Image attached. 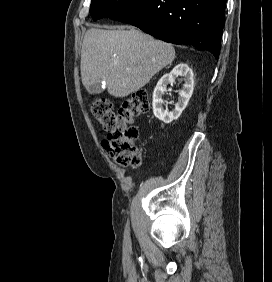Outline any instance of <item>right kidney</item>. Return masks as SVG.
<instances>
[{"instance_id":"1","label":"right kidney","mask_w":272,"mask_h":282,"mask_svg":"<svg viewBox=\"0 0 272 282\" xmlns=\"http://www.w3.org/2000/svg\"><path fill=\"white\" fill-rule=\"evenodd\" d=\"M178 76L184 77L183 89L178 92V102L175 104V109L171 112L163 108L162 96L166 92L167 86L173 84ZM194 90V74L192 69L185 63L176 65L172 71L163 75L158 81L153 92V113L156 118L162 122L169 124L176 120L186 108L190 97Z\"/></svg>"}]
</instances>
